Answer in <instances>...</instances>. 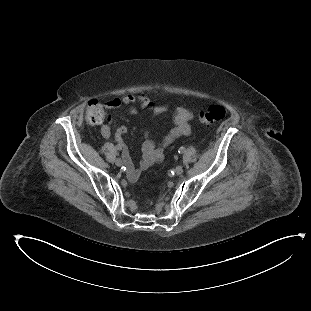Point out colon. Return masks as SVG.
Masks as SVG:
<instances>
[{"label": "colon", "mask_w": 311, "mask_h": 311, "mask_svg": "<svg viewBox=\"0 0 311 311\" xmlns=\"http://www.w3.org/2000/svg\"><path fill=\"white\" fill-rule=\"evenodd\" d=\"M108 107L99 102H91L86 111V120L90 124L103 125L105 122V111ZM226 109L220 105H213L203 109L199 113L200 121L208 126L221 120L226 115Z\"/></svg>", "instance_id": "obj_1"}]
</instances>
